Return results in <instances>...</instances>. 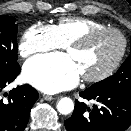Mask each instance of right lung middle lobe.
Returning <instances> with one entry per match:
<instances>
[{
  "instance_id": "right-lung-middle-lobe-1",
  "label": "right lung middle lobe",
  "mask_w": 131,
  "mask_h": 131,
  "mask_svg": "<svg viewBox=\"0 0 131 131\" xmlns=\"http://www.w3.org/2000/svg\"><path fill=\"white\" fill-rule=\"evenodd\" d=\"M10 16H0V76L19 69L17 62V24Z\"/></svg>"
}]
</instances>
